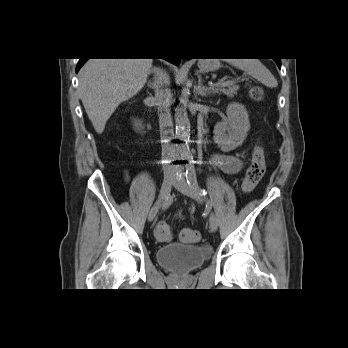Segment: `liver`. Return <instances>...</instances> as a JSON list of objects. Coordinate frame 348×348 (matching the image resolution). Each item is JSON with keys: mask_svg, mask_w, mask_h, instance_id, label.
<instances>
[{"mask_svg": "<svg viewBox=\"0 0 348 348\" xmlns=\"http://www.w3.org/2000/svg\"><path fill=\"white\" fill-rule=\"evenodd\" d=\"M153 59H89L79 72V96L101 134L116 108L145 85Z\"/></svg>", "mask_w": 348, "mask_h": 348, "instance_id": "1", "label": "liver"}]
</instances>
